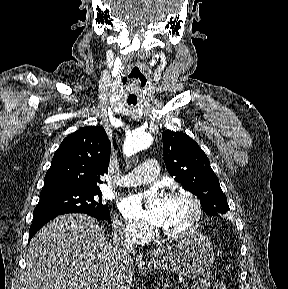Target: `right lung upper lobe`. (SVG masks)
Wrapping results in <instances>:
<instances>
[{"mask_svg": "<svg viewBox=\"0 0 288 289\" xmlns=\"http://www.w3.org/2000/svg\"><path fill=\"white\" fill-rule=\"evenodd\" d=\"M110 152L111 143L104 128L79 129L67 136L55 152L44 188L98 187L100 177L108 173Z\"/></svg>", "mask_w": 288, "mask_h": 289, "instance_id": "1", "label": "right lung upper lobe"}]
</instances>
